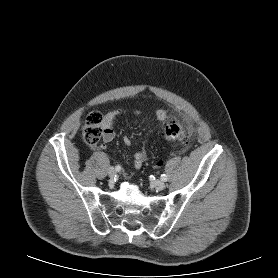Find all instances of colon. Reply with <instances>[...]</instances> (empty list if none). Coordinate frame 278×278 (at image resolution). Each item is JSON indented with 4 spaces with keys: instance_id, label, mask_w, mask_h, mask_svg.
<instances>
[{
    "instance_id": "obj_1",
    "label": "colon",
    "mask_w": 278,
    "mask_h": 278,
    "mask_svg": "<svg viewBox=\"0 0 278 278\" xmlns=\"http://www.w3.org/2000/svg\"><path fill=\"white\" fill-rule=\"evenodd\" d=\"M102 122L103 116L100 112H92L86 118L83 128V138L91 147L97 146L100 142L103 135ZM161 136L166 140L185 143L187 132L182 123L171 122L163 127Z\"/></svg>"
}]
</instances>
